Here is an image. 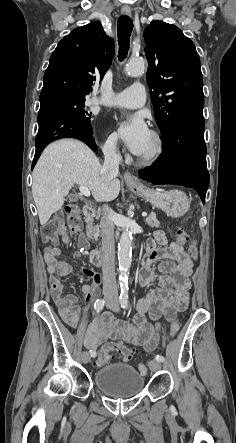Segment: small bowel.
Instances as JSON below:
<instances>
[{
	"label": "small bowel",
	"mask_w": 236,
	"mask_h": 443,
	"mask_svg": "<svg viewBox=\"0 0 236 443\" xmlns=\"http://www.w3.org/2000/svg\"><path fill=\"white\" fill-rule=\"evenodd\" d=\"M62 241L68 244L70 239L65 234ZM78 245L79 250L74 253V258L81 261L87 247L83 235H80ZM59 255L60 249L58 247L46 248L44 251L49 287L62 318L70 327L76 328L80 314L79 297L63 294L64 285L60 277L69 275L72 272V267L68 262L59 260ZM160 258L165 259L159 266L160 272L162 274L170 273L171 276H161L159 278L160 287L139 299L138 313L131 324L115 321L110 312L98 315L90 323L85 333V346L88 349L95 352L102 342L120 341L131 348L143 346L146 350L151 351L158 341L161 317L164 316L167 321H173L178 312L187 308L193 264L181 245L176 242L168 245L163 231H156L154 239L149 240L146 244V254L138 274L140 286L145 287L157 279L153 264ZM81 271L93 281L91 285H82V291L89 299L101 289V278L89 267L82 266ZM147 314L154 323L147 321Z\"/></svg>",
	"instance_id": "1"
}]
</instances>
